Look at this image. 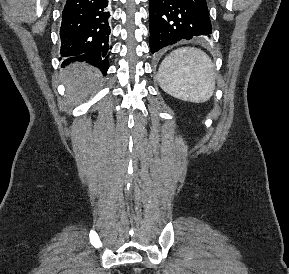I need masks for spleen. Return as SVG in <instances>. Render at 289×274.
<instances>
[{
  "mask_svg": "<svg viewBox=\"0 0 289 274\" xmlns=\"http://www.w3.org/2000/svg\"><path fill=\"white\" fill-rule=\"evenodd\" d=\"M157 79L166 93L184 101L205 102L215 90V69L211 58L193 47L176 49L166 56Z\"/></svg>",
  "mask_w": 289,
  "mask_h": 274,
  "instance_id": "3e777b00",
  "label": "spleen"
}]
</instances>
